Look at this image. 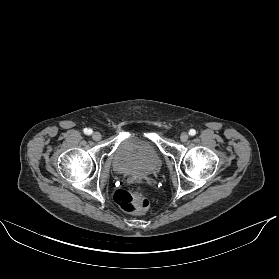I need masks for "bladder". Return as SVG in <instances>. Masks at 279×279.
<instances>
[{
	"mask_svg": "<svg viewBox=\"0 0 279 279\" xmlns=\"http://www.w3.org/2000/svg\"><path fill=\"white\" fill-rule=\"evenodd\" d=\"M114 169L123 176L137 180L148 178L161 169V158L147 141L124 139L112 153Z\"/></svg>",
	"mask_w": 279,
	"mask_h": 279,
	"instance_id": "obj_1",
	"label": "bladder"
}]
</instances>
